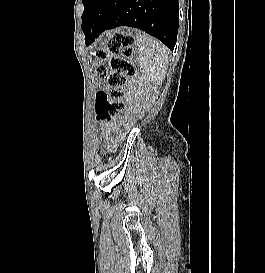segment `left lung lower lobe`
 <instances>
[{
    "label": "left lung lower lobe",
    "mask_w": 265,
    "mask_h": 273,
    "mask_svg": "<svg viewBox=\"0 0 265 273\" xmlns=\"http://www.w3.org/2000/svg\"><path fill=\"white\" fill-rule=\"evenodd\" d=\"M178 0H88L82 30L86 45L118 26L139 28L173 51L178 32Z\"/></svg>",
    "instance_id": "left-lung-lower-lobe-1"
}]
</instances>
